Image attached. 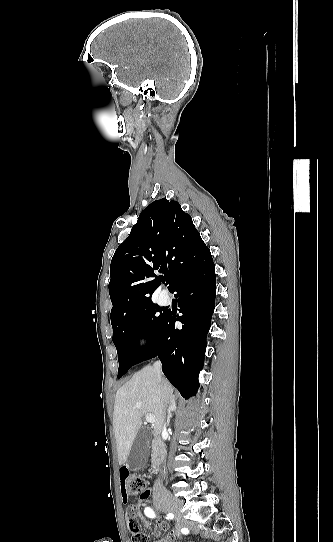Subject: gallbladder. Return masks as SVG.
I'll return each instance as SVG.
<instances>
[{
	"instance_id": "1",
	"label": "gallbladder",
	"mask_w": 333,
	"mask_h": 542,
	"mask_svg": "<svg viewBox=\"0 0 333 542\" xmlns=\"http://www.w3.org/2000/svg\"><path fill=\"white\" fill-rule=\"evenodd\" d=\"M151 438V428H141L127 458V468L131 472H137L145 466L149 456V442Z\"/></svg>"
}]
</instances>
